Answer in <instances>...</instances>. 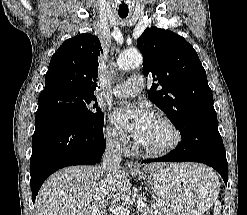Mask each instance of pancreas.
<instances>
[{
    "label": "pancreas",
    "instance_id": "1",
    "mask_svg": "<svg viewBox=\"0 0 247 215\" xmlns=\"http://www.w3.org/2000/svg\"><path fill=\"white\" fill-rule=\"evenodd\" d=\"M139 211H140L141 215H162V213L159 210H156V209L149 207L147 205L140 207Z\"/></svg>",
    "mask_w": 247,
    "mask_h": 215
}]
</instances>
